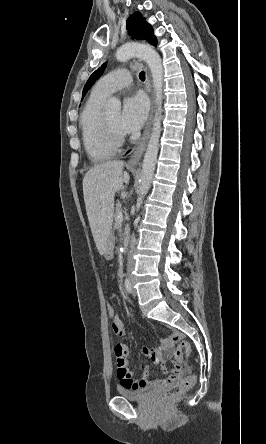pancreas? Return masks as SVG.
<instances>
[{"instance_id": "pancreas-1", "label": "pancreas", "mask_w": 266, "mask_h": 444, "mask_svg": "<svg viewBox=\"0 0 266 444\" xmlns=\"http://www.w3.org/2000/svg\"><path fill=\"white\" fill-rule=\"evenodd\" d=\"M119 211H121V205H120V203H116V206H115V214H114V218H115V222H116V224H117V222H118L117 213H118Z\"/></svg>"}]
</instances>
